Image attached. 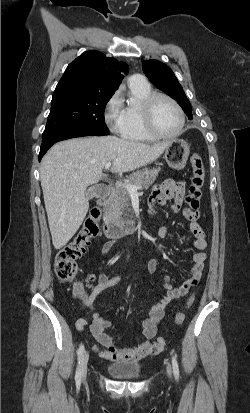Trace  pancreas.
Returning a JSON list of instances; mask_svg holds the SVG:
<instances>
[{
	"label": "pancreas",
	"instance_id": "pancreas-1",
	"mask_svg": "<svg viewBox=\"0 0 250 413\" xmlns=\"http://www.w3.org/2000/svg\"><path fill=\"white\" fill-rule=\"evenodd\" d=\"M160 167L145 168L132 173L123 184H118L114 193L108 200L107 214L111 222L115 224H122L130 215L131 197L125 185L130 184L134 186H141V188L148 189L150 185L156 180Z\"/></svg>",
	"mask_w": 250,
	"mask_h": 413
}]
</instances>
